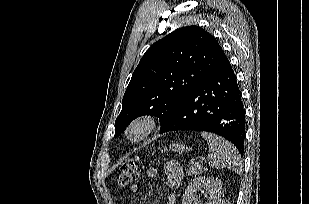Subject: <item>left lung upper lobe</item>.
<instances>
[{"mask_svg":"<svg viewBox=\"0 0 309 204\" xmlns=\"http://www.w3.org/2000/svg\"><path fill=\"white\" fill-rule=\"evenodd\" d=\"M225 58L217 40L198 26L176 29L155 42L132 75L115 121L114 137L142 115L158 116L162 127Z\"/></svg>","mask_w":309,"mask_h":204,"instance_id":"obj_1","label":"left lung upper lobe"}]
</instances>
